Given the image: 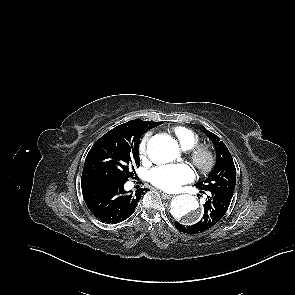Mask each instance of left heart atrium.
Segmentation results:
<instances>
[{
    "instance_id": "left-heart-atrium-1",
    "label": "left heart atrium",
    "mask_w": 295,
    "mask_h": 295,
    "mask_svg": "<svg viewBox=\"0 0 295 295\" xmlns=\"http://www.w3.org/2000/svg\"><path fill=\"white\" fill-rule=\"evenodd\" d=\"M194 177L193 169L185 163L158 166L149 175L150 182L154 186L167 192L178 191Z\"/></svg>"
}]
</instances>
